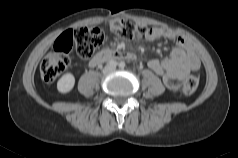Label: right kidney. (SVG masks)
I'll use <instances>...</instances> for the list:
<instances>
[{
  "label": "right kidney",
  "instance_id": "1",
  "mask_svg": "<svg viewBox=\"0 0 238 158\" xmlns=\"http://www.w3.org/2000/svg\"><path fill=\"white\" fill-rule=\"evenodd\" d=\"M75 84V77L72 73L64 74L57 82V89L60 93L70 92Z\"/></svg>",
  "mask_w": 238,
  "mask_h": 158
}]
</instances>
